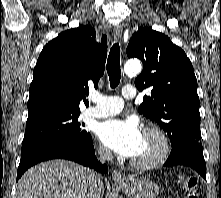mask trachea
Masks as SVG:
<instances>
[{
    "label": "trachea",
    "instance_id": "3493384b",
    "mask_svg": "<svg viewBox=\"0 0 221 198\" xmlns=\"http://www.w3.org/2000/svg\"><path fill=\"white\" fill-rule=\"evenodd\" d=\"M107 73L111 88L117 87L121 78L120 47L118 43H115L110 49L107 60Z\"/></svg>",
    "mask_w": 221,
    "mask_h": 198
}]
</instances>
